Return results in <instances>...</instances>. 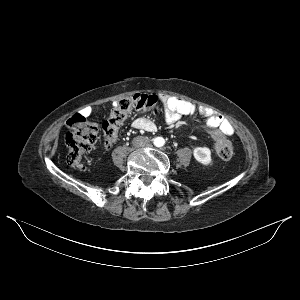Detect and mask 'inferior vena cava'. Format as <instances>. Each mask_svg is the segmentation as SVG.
Listing matches in <instances>:
<instances>
[{"label": "inferior vena cava", "mask_w": 300, "mask_h": 300, "mask_svg": "<svg viewBox=\"0 0 300 300\" xmlns=\"http://www.w3.org/2000/svg\"><path fill=\"white\" fill-rule=\"evenodd\" d=\"M132 143L135 147H138V148L145 147V146H148L149 139H148V137L137 136L133 139Z\"/></svg>", "instance_id": "602c4592"}]
</instances>
